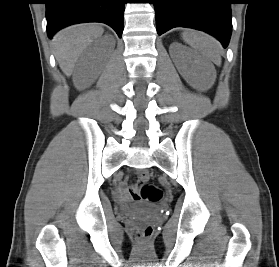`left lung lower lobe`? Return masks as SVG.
<instances>
[{
  "label": "left lung lower lobe",
  "mask_w": 279,
  "mask_h": 267,
  "mask_svg": "<svg viewBox=\"0 0 279 267\" xmlns=\"http://www.w3.org/2000/svg\"><path fill=\"white\" fill-rule=\"evenodd\" d=\"M158 35L188 27L215 36L227 47L232 32V0H153Z\"/></svg>",
  "instance_id": "0a47b994"
}]
</instances>
